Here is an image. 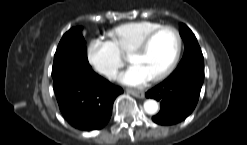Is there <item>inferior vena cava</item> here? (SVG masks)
Returning a JSON list of instances; mask_svg holds the SVG:
<instances>
[{
	"label": "inferior vena cava",
	"instance_id": "1",
	"mask_svg": "<svg viewBox=\"0 0 247 145\" xmlns=\"http://www.w3.org/2000/svg\"><path fill=\"white\" fill-rule=\"evenodd\" d=\"M101 72L108 77H112L116 74V69L113 67H104L102 68Z\"/></svg>",
	"mask_w": 247,
	"mask_h": 145
}]
</instances>
